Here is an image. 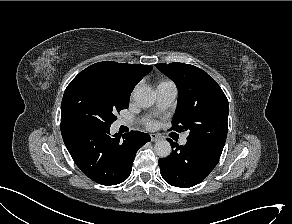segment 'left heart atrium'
I'll return each instance as SVG.
<instances>
[{
	"instance_id": "39dd6f15",
	"label": "left heart atrium",
	"mask_w": 292,
	"mask_h": 224,
	"mask_svg": "<svg viewBox=\"0 0 292 224\" xmlns=\"http://www.w3.org/2000/svg\"><path fill=\"white\" fill-rule=\"evenodd\" d=\"M147 126H148L149 128H153V127L155 126V124H154L153 122H148V123H147Z\"/></svg>"
}]
</instances>
